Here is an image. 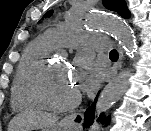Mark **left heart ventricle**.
<instances>
[{
	"label": "left heart ventricle",
	"instance_id": "1",
	"mask_svg": "<svg viewBox=\"0 0 151 131\" xmlns=\"http://www.w3.org/2000/svg\"><path fill=\"white\" fill-rule=\"evenodd\" d=\"M46 94L54 102H62L78 93L73 79L68 74V68L63 62L53 64V71L45 84Z\"/></svg>",
	"mask_w": 151,
	"mask_h": 131
}]
</instances>
